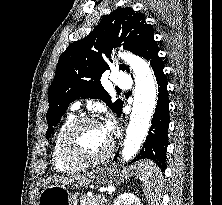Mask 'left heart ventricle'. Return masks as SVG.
<instances>
[{"instance_id": "obj_1", "label": "left heart ventricle", "mask_w": 222, "mask_h": 205, "mask_svg": "<svg viewBox=\"0 0 222 205\" xmlns=\"http://www.w3.org/2000/svg\"><path fill=\"white\" fill-rule=\"evenodd\" d=\"M109 135L101 124L90 123L79 128L70 140V147L78 156L89 159L101 155L107 148Z\"/></svg>"}]
</instances>
